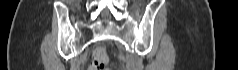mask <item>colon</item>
Returning a JSON list of instances; mask_svg holds the SVG:
<instances>
[{
    "label": "colon",
    "instance_id": "obj_1",
    "mask_svg": "<svg viewBox=\"0 0 238 70\" xmlns=\"http://www.w3.org/2000/svg\"><path fill=\"white\" fill-rule=\"evenodd\" d=\"M108 63V54L105 48L98 47L93 53V61L90 70H105Z\"/></svg>",
    "mask_w": 238,
    "mask_h": 70
}]
</instances>
